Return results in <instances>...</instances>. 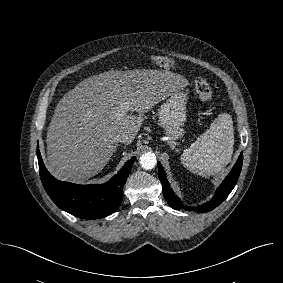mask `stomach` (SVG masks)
<instances>
[{"mask_svg": "<svg viewBox=\"0 0 283 283\" xmlns=\"http://www.w3.org/2000/svg\"><path fill=\"white\" fill-rule=\"evenodd\" d=\"M186 100V93L180 90L173 92L158 112L159 125L164 129L171 147H174L185 133L183 125L186 121Z\"/></svg>", "mask_w": 283, "mask_h": 283, "instance_id": "1", "label": "stomach"}]
</instances>
